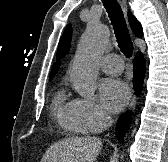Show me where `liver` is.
Returning a JSON list of instances; mask_svg holds the SVG:
<instances>
[{
	"mask_svg": "<svg viewBox=\"0 0 168 162\" xmlns=\"http://www.w3.org/2000/svg\"><path fill=\"white\" fill-rule=\"evenodd\" d=\"M102 149L96 137H71L52 144L40 162H94Z\"/></svg>",
	"mask_w": 168,
	"mask_h": 162,
	"instance_id": "liver-1",
	"label": "liver"
}]
</instances>
